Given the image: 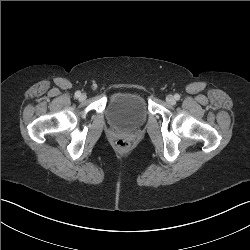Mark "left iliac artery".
Listing matches in <instances>:
<instances>
[{"label": "left iliac artery", "mask_w": 250, "mask_h": 250, "mask_svg": "<svg viewBox=\"0 0 250 250\" xmlns=\"http://www.w3.org/2000/svg\"><path fill=\"white\" fill-rule=\"evenodd\" d=\"M174 98H175L176 100H179V99H180V95H179V94H175V95H174Z\"/></svg>", "instance_id": "left-iliac-artery-1"}]
</instances>
